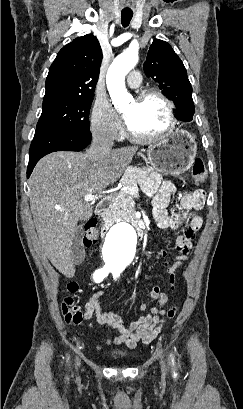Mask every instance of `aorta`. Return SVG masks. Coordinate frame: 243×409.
I'll return each mask as SVG.
<instances>
[{
	"instance_id": "aorta-1",
	"label": "aorta",
	"mask_w": 243,
	"mask_h": 409,
	"mask_svg": "<svg viewBox=\"0 0 243 409\" xmlns=\"http://www.w3.org/2000/svg\"><path fill=\"white\" fill-rule=\"evenodd\" d=\"M138 54L127 50L117 56L110 65L107 75V89L115 107H122L129 103L130 95L125 89V76L136 66ZM136 241V232L129 223H118L107 232L103 254L108 263L122 259L131 249Z\"/></svg>"
}]
</instances>
